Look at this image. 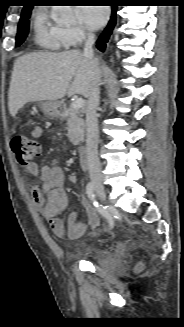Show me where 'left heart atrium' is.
Instances as JSON below:
<instances>
[{
  "label": "left heart atrium",
  "mask_w": 184,
  "mask_h": 327,
  "mask_svg": "<svg viewBox=\"0 0 184 327\" xmlns=\"http://www.w3.org/2000/svg\"><path fill=\"white\" fill-rule=\"evenodd\" d=\"M108 8L86 5L79 9L81 21L91 30H96L104 25L108 18Z\"/></svg>",
  "instance_id": "left-heart-atrium-1"
}]
</instances>
